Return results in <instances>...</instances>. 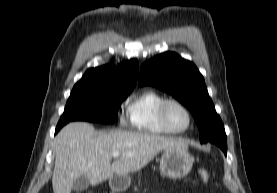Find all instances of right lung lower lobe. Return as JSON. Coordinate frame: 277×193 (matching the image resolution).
I'll return each instance as SVG.
<instances>
[{
	"label": "right lung lower lobe",
	"mask_w": 277,
	"mask_h": 193,
	"mask_svg": "<svg viewBox=\"0 0 277 193\" xmlns=\"http://www.w3.org/2000/svg\"><path fill=\"white\" fill-rule=\"evenodd\" d=\"M64 125L62 124H57L56 130H55V134L63 127Z\"/></svg>",
	"instance_id": "obj_1"
}]
</instances>
